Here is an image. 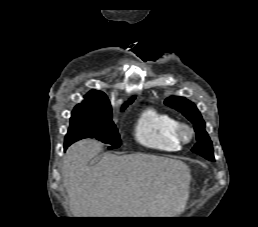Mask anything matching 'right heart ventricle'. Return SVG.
Here are the masks:
<instances>
[{
	"mask_svg": "<svg viewBox=\"0 0 258 227\" xmlns=\"http://www.w3.org/2000/svg\"><path fill=\"white\" fill-rule=\"evenodd\" d=\"M178 121L166 112L146 107L139 115L134 135L141 145L165 152L177 151L181 144L175 136Z\"/></svg>",
	"mask_w": 258,
	"mask_h": 227,
	"instance_id": "1",
	"label": "right heart ventricle"
}]
</instances>
